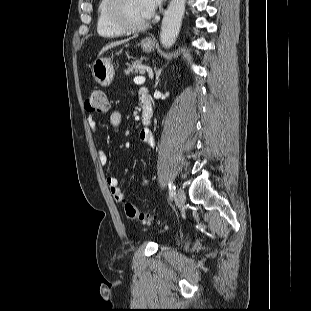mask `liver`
<instances>
[{
    "mask_svg": "<svg viewBox=\"0 0 311 311\" xmlns=\"http://www.w3.org/2000/svg\"><path fill=\"white\" fill-rule=\"evenodd\" d=\"M130 39H124V40H121V41H116V42H113L109 45H106L105 47L102 48V50L100 51L99 53V56L102 55L104 52H106L108 49H111L115 46H118V45H121L123 43H126L127 41H129Z\"/></svg>",
    "mask_w": 311,
    "mask_h": 311,
    "instance_id": "1",
    "label": "liver"
}]
</instances>
